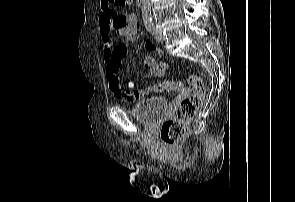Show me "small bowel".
<instances>
[{
  "mask_svg": "<svg viewBox=\"0 0 295 202\" xmlns=\"http://www.w3.org/2000/svg\"><path fill=\"white\" fill-rule=\"evenodd\" d=\"M99 16V29L104 45V60L106 64V78L111 92L118 98L126 101H140L155 92L151 86L140 90L123 89L120 85L119 69L121 60L127 55L128 49L125 45L115 46L114 35L134 41L137 38L138 18L135 13L127 15L118 14L110 4V0H101ZM146 49L154 51L152 43L145 44ZM149 69V68H148ZM161 75H154L148 71V79H158ZM182 98H190V89H181L180 98H172L170 107H179Z\"/></svg>",
  "mask_w": 295,
  "mask_h": 202,
  "instance_id": "1",
  "label": "small bowel"
}]
</instances>
